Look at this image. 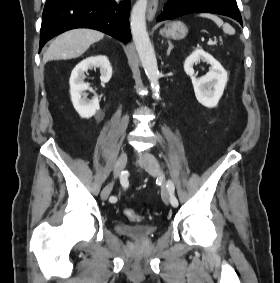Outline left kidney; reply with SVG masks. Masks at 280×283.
<instances>
[{"instance_id":"1","label":"left kidney","mask_w":280,"mask_h":283,"mask_svg":"<svg viewBox=\"0 0 280 283\" xmlns=\"http://www.w3.org/2000/svg\"><path fill=\"white\" fill-rule=\"evenodd\" d=\"M200 60L210 64L211 69L206 75L196 78L193 65ZM184 71L191 78L198 102L208 108L216 107L228 81V73L222 65L204 50L196 49L186 58Z\"/></svg>"}]
</instances>
